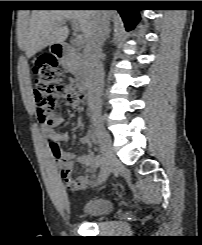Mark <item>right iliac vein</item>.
Instances as JSON below:
<instances>
[{"label":"right iliac vein","mask_w":202,"mask_h":245,"mask_svg":"<svg viewBox=\"0 0 202 245\" xmlns=\"http://www.w3.org/2000/svg\"><path fill=\"white\" fill-rule=\"evenodd\" d=\"M93 124L96 128L97 134H98V141L101 146L103 155H104V160L102 163V170L100 173L99 181L103 182L107 179L109 174L112 171L113 164L117 160L114 150L112 147L111 139L102 128L101 124L98 120H93Z\"/></svg>","instance_id":"obj_1"}]
</instances>
